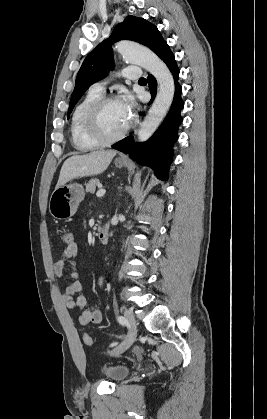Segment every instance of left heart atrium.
Instances as JSON below:
<instances>
[{
    "label": "left heart atrium",
    "mask_w": 267,
    "mask_h": 419,
    "mask_svg": "<svg viewBox=\"0 0 267 419\" xmlns=\"http://www.w3.org/2000/svg\"><path fill=\"white\" fill-rule=\"evenodd\" d=\"M120 103H121V106L123 108L125 115L130 120L133 116L134 107H135L134 99L132 98V96L126 95L120 100Z\"/></svg>",
    "instance_id": "left-heart-atrium-1"
}]
</instances>
